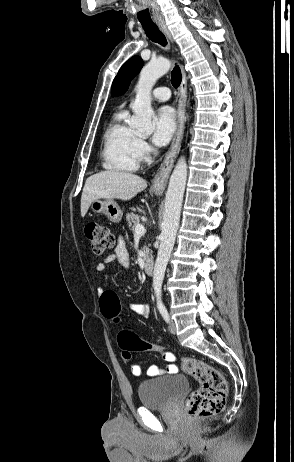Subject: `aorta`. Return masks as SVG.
Segmentation results:
<instances>
[{"label":"aorta","mask_w":294,"mask_h":462,"mask_svg":"<svg viewBox=\"0 0 294 462\" xmlns=\"http://www.w3.org/2000/svg\"><path fill=\"white\" fill-rule=\"evenodd\" d=\"M171 62L166 58L151 60L140 72L136 85V98L132 109L134 115L129 121L131 128L141 134L149 135L154 128L151 123L154 114L151 106V90L156 81L166 74ZM187 180V163L185 157H180L169 180L165 197L160 246L153 272V289L158 307H162V284L165 270L175 243L179 227L180 213Z\"/></svg>","instance_id":"obj_1"}]
</instances>
